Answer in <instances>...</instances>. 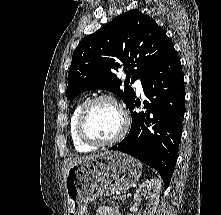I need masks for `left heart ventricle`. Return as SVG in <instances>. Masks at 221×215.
Wrapping results in <instances>:
<instances>
[{"instance_id":"left-heart-ventricle-1","label":"left heart ventricle","mask_w":221,"mask_h":215,"mask_svg":"<svg viewBox=\"0 0 221 215\" xmlns=\"http://www.w3.org/2000/svg\"><path fill=\"white\" fill-rule=\"evenodd\" d=\"M122 126V117L114 104L108 101L96 103L89 111L86 130L94 138L107 140L114 137Z\"/></svg>"}]
</instances>
